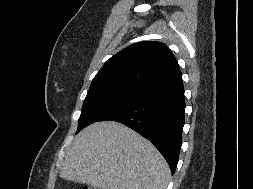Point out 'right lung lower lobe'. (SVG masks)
<instances>
[{
	"label": "right lung lower lobe",
	"mask_w": 253,
	"mask_h": 189,
	"mask_svg": "<svg viewBox=\"0 0 253 189\" xmlns=\"http://www.w3.org/2000/svg\"><path fill=\"white\" fill-rule=\"evenodd\" d=\"M184 111V88L180 80L148 91L136 102L101 120L120 122L149 139L174 174L182 142Z\"/></svg>",
	"instance_id": "obj_1"
}]
</instances>
